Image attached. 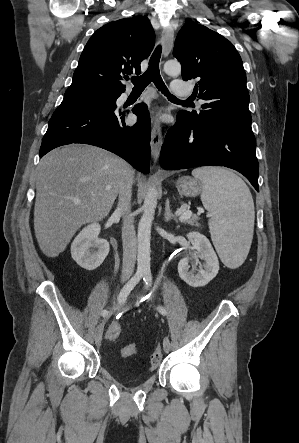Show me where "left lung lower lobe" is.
<instances>
[{"label": "left lung lower lobe", "mask_w": 299, "mask_h": 443, "mask_svg": "<svg viewBox=\"0 0 299 443\" xmlns=\"http://www.w3.org/2000/svg\"><path fill=\"white\" fill-rule=\"evenodd\" d=\"M256 140L251 126L215 124L204 126L181 112L161 149L160 165L167 170L197 166H225L242 173L259 191Z\"/></svg>", "instance_id": "obj_1"}]
</instances>
